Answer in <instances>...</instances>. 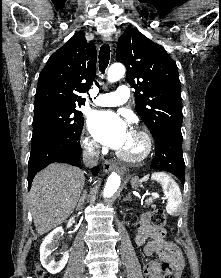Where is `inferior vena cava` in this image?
<instances>
[{
  "instance_id": "602c4592",
  "label": "inferior vena cava",
  "mask_w": 221,
  "mask_h": 278,
  "mask_svg": "<svg viewBox=\"0 0 221 278\" xmlns=\"http://www.w3.org/2000/svg\"><path fill=\"white\" fill-rule=\"evenodd\" d=\"M99 151L97 149L86 150L83 153V163L87 167H93L98 163Z\"/></svg>"
}]
</instances>
